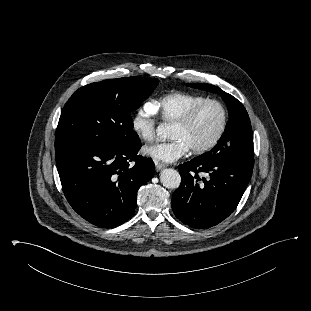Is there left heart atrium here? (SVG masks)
<instances>
[{"instance_id":"1","label":"left heart atrium","mask_w":311,"mask_h":311,"mask_svg":"<svg viewBox=\"0 0 311 311\" xmlns=\"http://www.w3.org/2000/svg\"><path fill=\"white\" fill-rule=\"evenodd\" d=\"M189 149L190 147L182 139L177 138L146 146L143 152L155 161L170 163L184 156Z\"/></svg>"}]
</instances>
